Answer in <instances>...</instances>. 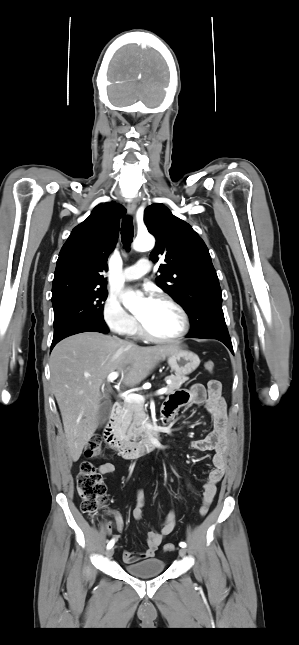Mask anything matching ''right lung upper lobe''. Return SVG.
I'll return each mask as SVG.
<instances>
[{"instance_id": "cb5924a9", "label": "right lung upper lobe", "mask_w": 299, "mask_h": 645, "mask_svg": "<svg viewBox=\"0 0 299 645\" xmlns=\"http://www.w3.org/2000/svg\"><path fill=\"white\" fill-rule=\"evenodd\" d=\"M125 208L114 202L97 205L63 245L54 273L52 297L67 290L106 289L103 273L115 248Z\"/></svg>"}]
</instances>
